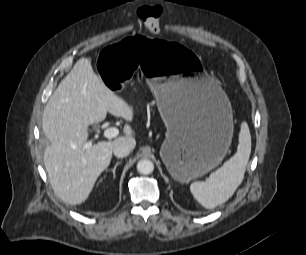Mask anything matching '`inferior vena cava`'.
I'll return each mask as SVG.
<instances>
[{"instance_id": "1", "label": "inferior vena cava", "mask_w": 306, "mask_h": 255, "mask_svg": "<svg viewBox=\"0 0 306 255\" xmlns=\"http://www.w3.org/2000/svg\"><path fill=\"white\" fill-rule=\"evenodd\" d=\"M133 150V145L128 141L119 142L114 146L113 153L117 158H124Z\"/></svg>"}]
</instances>
